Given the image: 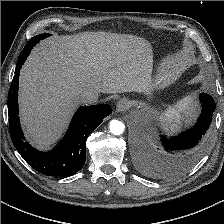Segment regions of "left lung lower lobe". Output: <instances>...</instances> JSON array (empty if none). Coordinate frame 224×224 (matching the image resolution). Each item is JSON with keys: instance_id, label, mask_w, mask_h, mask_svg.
Here are the masks:
<instances>
[{"instance_id": "1", "label": "left lung lower lobe", "mask_w": 224, "mask_h": 224, "mask_svg": "<svg viewBox=\"0 0 224 224\" xmlns=\"http://www.w3.org/2000/svg\"><path fill=\"white\" fill-rule=\"evenodd\" d=\"M202 112L197 123L178 137H162L164 148L169 154L158 156L146 149L140 153V167L155 173L180 170L193 164L202 151V138L212 122L216 108L213 98L206 93L200 95Z\"/></svg>"}]
</instances>
